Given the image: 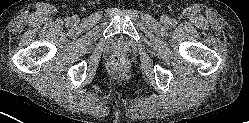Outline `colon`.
<instances>
[{
    "label": "colon",
    "instance_id": "colon-1",
    "mask_svg": "<svg viewBox=\"0 0 249 123\" xmlns=\"http://www.w3.org/2000/svg\"><path fill=\"white\" fill-rule=\"evenodd\" d=\"M110 72L117 77H124L129 70V61L122 52L114 53L108 62Z\"/></svg>",
    "mask_w": 249,
    "mask_h": 123
}]
</instances>
